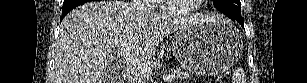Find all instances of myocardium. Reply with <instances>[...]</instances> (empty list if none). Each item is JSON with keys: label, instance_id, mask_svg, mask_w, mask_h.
Returning a JSON list of instances; mask_svg holds the SVG:
<instances>
[{"label": "myocardium", "instance_id": "1", "mask_svg": "<svg viewBox=\"0 0 307 83\" xmlns=\"http://www.w3.org/2000/svg\"><path fill=\"white\" fill-rule=\"evenodd\" d=\"M202 2H204V0H196V2L192 3L189 6L175 7L172 6L169 3V1H161L160 9L162 10V12L171 15H185L194 12L196 9H198Z\"/></svg>", "mask_w": 307, "mask_h": 83}]
</instances>
